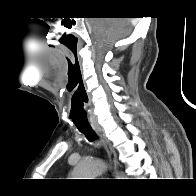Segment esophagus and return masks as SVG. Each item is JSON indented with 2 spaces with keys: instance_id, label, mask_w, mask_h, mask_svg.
Masks as SVG:
<instances>
[{
  "instance_id": "34e87169",
  "label": "esophagus",
  "mask_w": 196,
  "mask_h": 196,
  "mask_svg": "<svg viewBox=\"0 0 196 196\" xmlns=\"http://www.w3.org/2000/svg\"><path fill=\"white\" fill-rule=\"evenodd\" d=\"M95 131L99 134V136L103 139L104 141V146L105 149L108 153L109 160H110V167L112 170L113 176H117V165H118V157L115 149L111 145L110 141L105 137L104 130L100 127H96Z\"/></svg>"
}]
</instances>
